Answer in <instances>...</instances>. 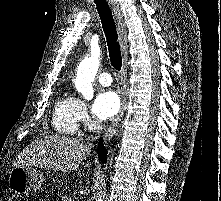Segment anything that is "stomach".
Returning a JSON list of instances; mask_svg holds the SVG:
<instances>
[{"mask_svg":"<svg viewBox=\"0 0 221 201\" xmlns=\"http://www.w3.org/2000/svg\"><path fill=\"white\" fill-rule=\"evenodd\" d=\"M44 181L43 174L30 166H17L9 174L8 187L18 195H25L40 189Z\"/></svg>","mask_w":221,"mask_h":201,"instance_id":"obj_1","label":"stomach"}]
</instances>
